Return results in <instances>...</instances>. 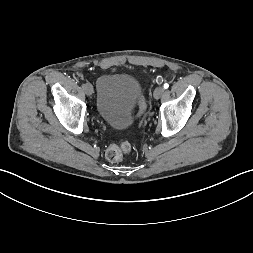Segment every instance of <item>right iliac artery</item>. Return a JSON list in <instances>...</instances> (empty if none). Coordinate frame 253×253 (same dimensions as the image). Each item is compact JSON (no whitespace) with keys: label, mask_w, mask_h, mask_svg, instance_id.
I'll list each match as a JSON object with an SVG mask.
<instances>
[{"label":"right iliac artery","mask_w":253,"mask_h":253,"mask_svg":"<svg viewBox=\"0 0 253 253\" xmlns=\"http://www.w3.org/2000/svg\"><path fill=\"white\" fill-rule=\"evenodd\" d=\"M86 86V84L85 83H82V87L84 88Z\"/></svg>","instance_id":"obj_1"}]
</instances>
